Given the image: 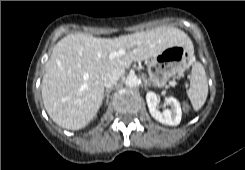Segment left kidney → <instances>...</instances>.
I'll use <instances>...</instances> for the list:
<instances>
[{
	"instance_id": "1",
	"label": "left kidney",
	"mask_w": 245,
	"mask_h": 170,
	"mask_svg": "<svg viewBox=\"0 0 245 170\" xmlns=\"http://www.w3.org/2000/svg\"><path fill=\"white\" fill-rule=\"evenodd\" d=\"M146 101L149 108L151 116L162 124L177 126L181 122L182 110L180 103L174 97H168L166 99V104L171 107V109H165L160 112L157 109L159 99L155 92L149 91L146 94Z\"/></svg>"
}]
</instances>
